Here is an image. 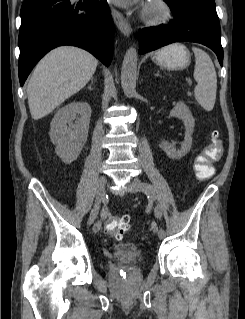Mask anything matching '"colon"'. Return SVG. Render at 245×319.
<instances>
[{
    "label": "colon",
    "mask_w": 245,
    "mask_h": 319,
    "mask_svg": "<svg viewBox=\"0 0 245 319\" xmlns=\"http://www.w3.org/2000/svg\"><path fill=\"white\" fill-rule=\"evenodd\" d=\"M223 151V145L218 134L214 133L211 143H209L204 151L197 157L194 164V173L198 179L206 180L212 177L215 168L214 164L217 162ZM129 217L127 215H120L110 217L106 222V230L116 237H120L128 228Z\"/></svg>",
    "instance_id": "5ec220e1"
}]
</instances>
